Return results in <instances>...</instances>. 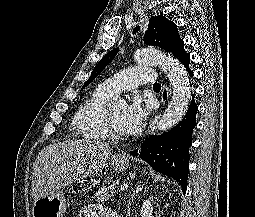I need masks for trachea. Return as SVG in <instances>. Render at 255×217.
<instances>
[{
	"mask_svg": "<svg viewBox=\"0 0 255 217\" xmlns=\"http://www.w3.org/2000/svg\"><path fill=\"white\" fill-rule=\"evenodd\" d=\"M153 88H154V89H160V88H161V85H160L159 83L156 82V83L153 84Z\"/></svg>",
	"mask_w": 255,
	"mask_h": 217,
	"instance_id": "trachea-1",
	"label": "trachea"
}]
</instances>
